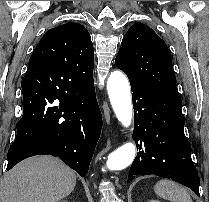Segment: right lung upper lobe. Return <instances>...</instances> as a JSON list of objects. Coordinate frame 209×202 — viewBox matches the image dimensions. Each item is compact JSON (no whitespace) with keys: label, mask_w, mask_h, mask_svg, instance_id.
<instances>
[{"label":"right lung upper lobe","mask_w":209,"mask_h":202,"mask_svg":"<svg viewBox=\"0 0 209 202\" xmlns=\"http://www.w3.org/2000/svg\"><path fill=\"white\" fill-rule=\"evenodd\" d=\"M94 50L88 30L66 23L48 30L34 49L29 69H44L65 87L84 88L93 83Z\"/></svg>","instance_id":"obj_1"}]
</instances>
